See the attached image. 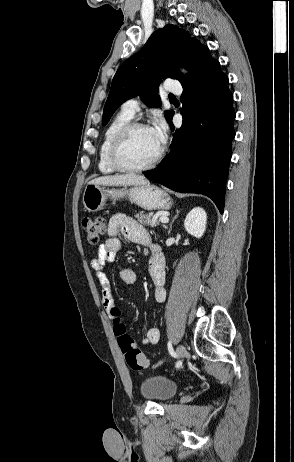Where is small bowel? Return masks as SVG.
<instances>
[{"label": "small bowel", "mask_w": 294, "mask_h": 462, "mask_svg": "<svg viewBox=\"0 0 294 462\" xmlns=\"http://www.w3.org/2000/svg\"><path fill=\"white\" fill-rule=\"evenodd\" d=\"M107 233L108 239L99 247L97 256L91 261V267L100 283L102 304L110 319L114 321L116 318L111 312L112 308L116 306L112 296L110 278L104 273L103 269L105 264L112 262L116 254L121 250L122 244L118 239L119 235H123L131 242L148 247L152 251L153 256L149 262V273L154 285L153 297L156 303H163L166 299V272L165 259L159 246L151 241L147 231L138 222L124 214H116L111 217ZM119 277L126 285H133L136 281V274L131 268H122L119 272ZM159 338L158 328L149 326L143 338V343L145 345L156 344Z\"/></svg>", "instance_id": "c3829d8e"}]
</instances>
